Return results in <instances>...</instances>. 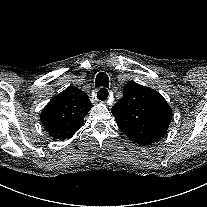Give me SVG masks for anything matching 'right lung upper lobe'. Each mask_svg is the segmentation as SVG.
Here are the masks:
<instances>
[{
	"mask_svg": "<svg viewBox=\"0 0 207 207\" xmlns=\"http://www.w3.org/2000/svg\"><path fill=\"white\" fill-rule=\"evenodd\" d=\"M92 106L85 92L69 87L45 106L41 122L54 139H69L80 129Z\"/></svg>",
	"mask_w": 207,
	"mask_h": 207,
	"instance_id": "right-lung-upper-lobe-1",
	"label": "right lung upper lobe"
}]
</instances>
